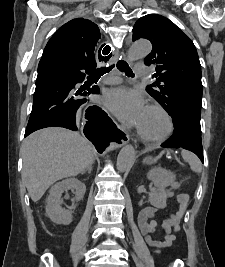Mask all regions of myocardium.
Masks as SVG:
<instances>
[{
    "instance_id": "f54148a6",
    "label": "myocardium",
    "mask_w": 225,
    "mask_h": 267,
    "mask_svg": "<svg viewBox=\"0 0 225 267\" xmlns=\"http://www.w3.org/2000/svg\"><path fill=\"white\" fill-rule=\"evenodd\" d=\"M147 108L155 109V110H158L159 112H161L165 116V118L167 120L168 128H167V131L162 136H160L158 138L147 137L138 128L137 132H138L139 136L141 137V139H143L145 142H148V143H162V142L168 140L172 136V134L174 132V120H173L172 116L170 115V113L164 107H162L159 104H149L147 106Z\"/></svg>"
}]
</instances>
